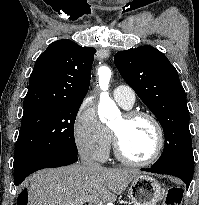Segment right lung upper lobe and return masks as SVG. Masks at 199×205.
Instances as JSON below:
<instances>
[{
	"label": "right lung upper lobe",
	"mask_w": 199,
	"mask_h": 205,
	"mask_svg": "<svg viewBox=\"0 0 199 205\" xmlns=\"http://www.w3.org/2000/svg\"><path fill=\"white\" fill-rule=\"evenodd\" d=\"M95 52V48L68 39L51 43L35 62L24 111L56 103H82Z\"/></svg>",
	"instance_id": "right-lung-upper-lobe-1"
}]
</instances>
